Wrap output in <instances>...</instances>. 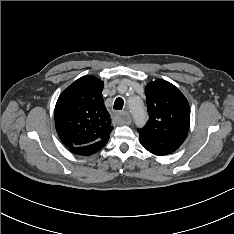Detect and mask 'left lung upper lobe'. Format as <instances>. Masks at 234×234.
Listing matches in <instances>:
<instances>
[{
  "label": "left lung upper lobe",
  "mask_w": 234,
  "mask_h": 234,
  "mask_svg": "<svg viewBox=\"0 0 234 234\" xmlns=\"http://www.w3.org/2000/svg\"><path fill=\"white\" fill-rule=\"evenodd\" d=\"M149 121L139 129L146 139H167L181 145L190 125L187 99L173 84L158 79L145 88Z\"/></svg>",
  "instance_id": "left-lung-upper-lobe-1"
}]
</instances>
